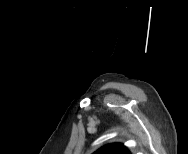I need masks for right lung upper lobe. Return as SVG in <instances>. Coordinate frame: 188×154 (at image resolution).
Wrapping results in <instances>:
<instances>
[{"label": "right lung upper lobe", "instance_id": "1", "mask_svg": "<svg viewBox=\"0 0 188 154\" xmlns=\"http://www.w3.org/2000/svg\"><path fill=\"white\" fill-rule=\"evenodd\" d=\"M94 154H130L122 144H109L97 150Z\"/></svg>", "mask_w": 188, "mask_h": 154}]
</instances>
